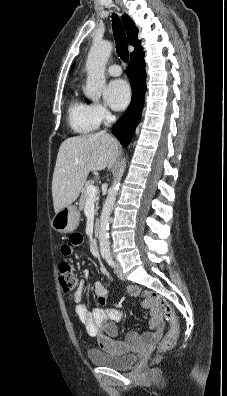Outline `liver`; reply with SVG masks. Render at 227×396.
Listing matches in <instances>:
<instances>
[{"mask_svg": "<svg viewBox=\"0 0 227 396\" xmlns=\"http://www.w3.org/2000/svg\"><path fill=\"white\" fill-rule=\"evenodd\" d=\"M119 142L105 132L70 137L59 148L52 179L55 212L79 196L91 171H101L119 153Z\"/></svg>", "mask_w": 227, "mask_h": 396, "instance_id": "1", "label": "liver"}]
</instances>
